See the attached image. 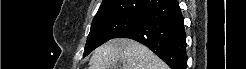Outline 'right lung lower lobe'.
<instances>
[{
    "label": "right lung lower lobe",
    "instance_id": "right-lung-lower-lobe-1",
    "mask_svg": "<svg viewBox=\"0 0 246 69\" xmlns=\"http://www.w3.org/2000/svg\"><path fill=\"white\" fill-rule=\"evenodd\" d=\"M118 37L147 46L172 69H186V36L177 0H169L145 11L140 23Z\"/></svg>",
    "mask_w": 246,
    "mask_h": 69
}]
</instances>
